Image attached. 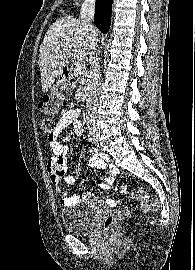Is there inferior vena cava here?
<instances>
[{
	"instance_id": "602c4592",
	"label": "inferior vena cava",
	"mask_w": 195,
	"mask_h": 270,
	"mask_svg": "<svg viewBox=\"0 0 195 270\" xmlns=\"http://www.w3.org/2000/svg\"><path fill=\"white\" fill-rule=\"evenodd\" d=\"M95 11V0H84L80 15L85 28L90 32V44L88 47L90 58V91L86 103V119L89 130L96 132L95 118L97 115L98 95L100 92L101 74L99 59L97 57V39L92 24Z\"/></svg>"
}]
</instances>
